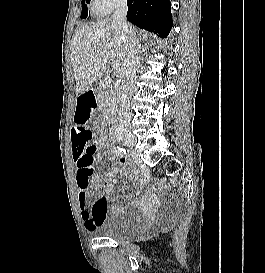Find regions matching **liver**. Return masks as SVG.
I'll return each instance as SVG.
<instances>
[{"instance_id":"6515ba94","label":"liver","mask_w":265,"mask_h":273,"mask_svg":"<svg viewBox=\"0 0 265 273\" xmlns=\"http://www.w3.org/2000/svg\"><path fill=\"white\" fill-rule=\"evenodd\" d=\"M126 44L118 27L109 18L78 28L71 40V63L76 80V95L87 92L115 58L124 65Z\"/></svg>"}]
</instances>
